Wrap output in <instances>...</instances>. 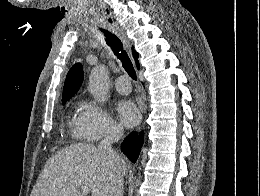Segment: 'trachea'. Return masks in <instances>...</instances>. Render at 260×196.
I'll list each match as a JSON object with an SVG mask.
<instances>
[{
	"instance_id": "1",
	"label": "trachea",
	"mask_w": 260,
	"mask_h": 196,
	"mask_svg": "<svg viewBox=\"0 0 260 196\" xmlns=\"http://www.w3.org/2000/svg\"><path fill=\"white\" fill-rule=\"evenodd\" d=\"M107 35L106 43L112 49L116 57L121 61L123 68L128 73L132 80H137L136 72L132 65V62L128 56V53L123 48V43L114 34L109 32H104Z\"/></svg>"
}]
</instances>
